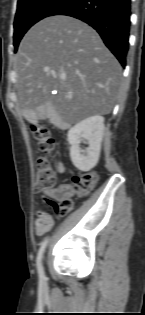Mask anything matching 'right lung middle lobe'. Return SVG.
I'll list each match as a JSON object with an SVG mask.
<instances>
[{
    "mask_svg": "<svg viewBox=\"0 0 145 315\" xmlns=\"http://www.w3.org/2000/svg\"><path fill=\"white\" fill-rule=\"evenodd\" d=\"M66 1L67 0H18L13 36L15 50H17L23 35L32 25L50 16Z\"/></svg>",
    "mask_w": 145,
    "mask_h": 315,
    "instance_id": "dd1d6c3e",
    "label": "right lung middle lobe"
}]
</instances>
